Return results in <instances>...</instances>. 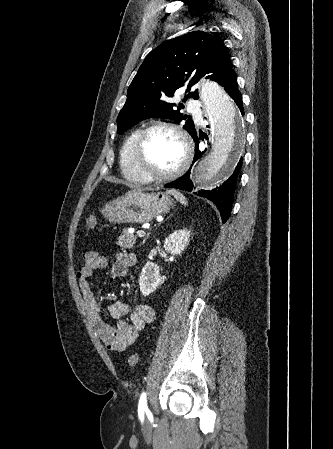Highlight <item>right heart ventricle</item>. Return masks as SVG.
Returning <instances> with one entry per match:
<instances>
[{
    "label": "right heart ventricle",
    "mask_w": 333,
    "mask_h": 449,
    "mask_svg": "<svg viewBox=\"0 0 333 449\" xmlns=\"http://www.w3.org/2000/svg\"><path fill=\"white\" fill-rule=\"evenodd\" d=\"M140 131V128L133 129L124 140L120 149V165L122 173L127 179L137 182H147L139 175L134 164V145Z\"/></svg>",
    "instance_id": "1"
}]
</instances>
